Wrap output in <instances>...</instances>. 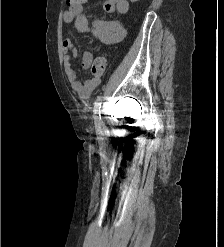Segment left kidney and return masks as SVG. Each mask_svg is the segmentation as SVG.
Listing matches in <instances>:
<instances>
[{"mask_svg": "<svg viewBox=\"0 0 224 247\" xmlns=\"http://www.w3.org/2000/svg\"><path fill=\"white\" fill-rule=\"evenodd\" d=\"M130 2H138V0H130Z\"/></svg>", "mask_w": 224, "mask_h": 247, "instance_id": "left-kidney-1", "label": "left kidney"}]
</instances>
